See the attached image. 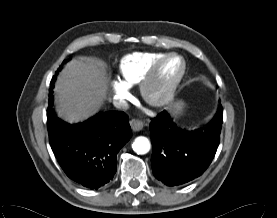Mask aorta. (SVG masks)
Instances as JSON below:
<instances>
[{"label":"aorta","instance_id":"762f6f07","mask_svg":"<svg viewBox=\"0 0 277 218\" xmlns=\"http://www.w3.org/2000/svg\"><path fill=\"white\" fill-rule=\"evenodd\" d=\"M132 148L137 154L144 155L150 151L151 144L146 137L139 136L134 140Z\"/></svg>","mask_w":277,"mask_h":218}]
</instances>
